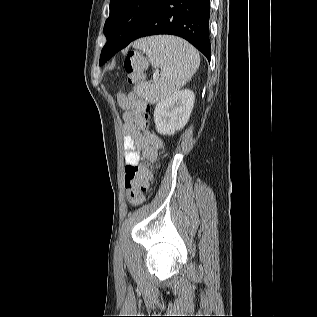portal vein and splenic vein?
<instances>
[{
  "mask_svg": "<svg viewBox=\"0 0 317 317\" xmlns=\"http://www.w3.org/2000/svg\"><path fill=\"white\" fill-rule=\"evenodd\" d=\"M157 77V74L156 75H154V78H156Z\"/></svg>",
  "mask_w": 317,
  "mask_h": 317,
  "instance_id": "1",
  "label": "portal vein and splenic vein"
}]
</instances>
